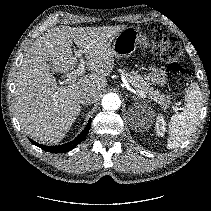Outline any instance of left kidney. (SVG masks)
Instances as JSON below:
<instances>
[{"instance_id": "5707ae66", "label": "left kidney", "mask_w": 211, "mask_h": 211, "mask_svg": "<svg viewBox=\"0 0 211 211\" xmlns=\"http://www.w3.org/2000/svg\"><path fill=\"white\" fill-rule=\"evenodd\" d=\"M152 117L153 116L151 114V116H149V118L147 120L142 121L141 125H143V126H150L151 123H152ZM155 126H156L155 128H156L157 135L163 136L165 131H166V123H165L164 117L162 115L159 114L156 117V125Z\"/></svg>"}]
</instances>
